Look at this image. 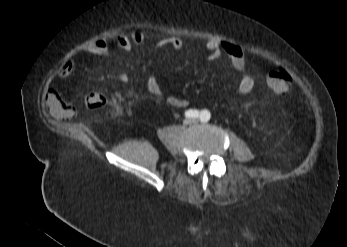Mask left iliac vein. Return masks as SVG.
Returning <instances> with one entry per match:
<instances>
[{"instance_id": "obj_1", "label": "left iliac vein", "mask_w": 347, "mask_h": 247, "mask_svg": "<svg viewBox=\"0 0 347 247\" xmlns=\"http://www.w3.org/2000/svg\"><path fill=\"white\" fill-rule=\"evenodd\" d=\"M192 122H193L194 124H196V123H197V120H193Z\"/></svg>"}]
</instances>
